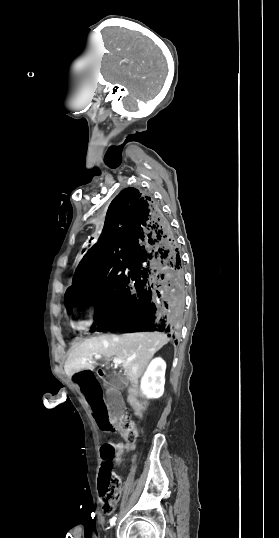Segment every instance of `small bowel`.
I'll return each instance as SVG.
<instances>
[{"label":"small bowel","mask_w":279,"mask_h":538,"mask_svg":"<svg viewBox=\"0 0 279 538\" xmlns=\"http://www.w3.org/2000/svg\"><path fill=\"white\" fill-rule=\"evenodd\" d=\"M110 445L116 451V454H117L116 461L118 463H121L124 460L125 456L129 452L134 451V449H135V446L133 444H124V443H121V442L110 443Z\"/></svg>","instance_id":"c3829d8e"}]
</instances>
